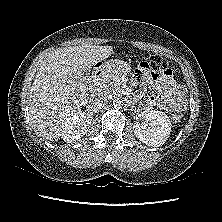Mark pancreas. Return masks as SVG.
Wrapping results in <instances>:
<instances>
[{"label": "pancreas", "mask_w": 222, "mask_h": 222, "mask_svg": "<svg viewBox=\"0 0 222 222\" xmlns=\"http://www.w3.org/2000/svg\"><path fill=\"white\" fill-rule=\"evenodd\" d=\"M120 77L119 74L114 72L109 77H107L99 86L98 92H101L105 95H113L116 93L117 87L115 86L114 82Z\"/></svg>", "instance_id": "cf45deb5"}]
</instances>
